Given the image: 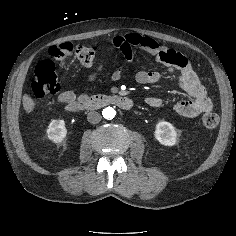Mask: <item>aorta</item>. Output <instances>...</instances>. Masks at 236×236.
Instances as JSON below:
<instances>
[{
	"instance_id": "762f6f07",
	"label": "aorta",
	"mask_w": 236,
	"mask_h": 236,
	"mask_svg": "<svg viewBox=\"0 0 236 236\" xmlns=\"http://www.w3.org/2000/svg\"><path fill=\"white\" fill-rule=\"evenodd\" d=\"M102 114H103V117L106 119H113L116 115V111L112 107H107L103 110Z\"/></svg>"
}]
</instances>
